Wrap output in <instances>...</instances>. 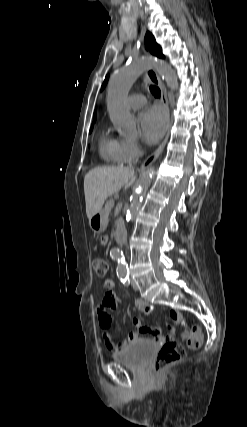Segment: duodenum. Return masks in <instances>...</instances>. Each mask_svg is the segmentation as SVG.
Instances as JSON below:
<instances>
[{"label":"duodenum","instance_id":"410a0bca","mask_svg":"<svg viewBox=\"0 0 247 427\" xmlns=\"http://www.w3.org/2000/svg\"><path fill=\"white\" fill-rule=\"evenodd\" d=\"M124 236H125V224L121 222L117 225V228L115 231V240L118 243H122L124 241Z\"/></svg>","mask_w":247,"mask_h":427}]
</instances>
